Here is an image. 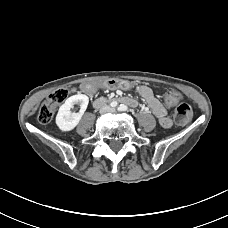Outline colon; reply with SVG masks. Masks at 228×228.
<instances>
[{"instance_id": "5ec220e1", "label": "colon", "mask_w": 228, "mask_h": 228, "mask_svg": "<svg viewBox=\"0 0 228 228\" xmlns=\"http://www.w3.org/2000/svg\"><path fill=\"white\" fill-rule=\"evenodd\" d=\"M68 94L69 92L66 88H59L51 92L39 108V122L42 124L49 123L53 119L57 108L66 101ZM181 100L182 96L175 91H172L167 97V101L176 106L174 114L176 124L183 126L191 121L193 112L191 107Z\"/></svg>"}]
</instances>
